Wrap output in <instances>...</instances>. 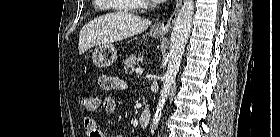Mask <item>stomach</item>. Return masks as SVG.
<instances>
[{
    "instance_id": "obj_1",
    "label": "stomach",
    "mask_w": 280,
    "mask_h": 137,
    "mask_svg": "<svg viewBox=\"0 0 280 137\" xmlns=\"http://www.w3.org/2000/svg\"><path fill=\"white\" fill-rule=\"evenodd\" d=\"M150 35L153 37H162L163 33L156 29H151ZM117 59V51L112 44H105L95 48L92 53V61L98 68H105L112 65Z\"/></svg>"
}]
</instances>
